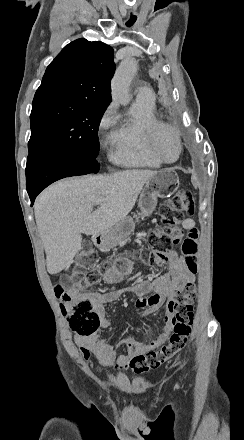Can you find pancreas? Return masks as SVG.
<instances>
[{
	"instance_id": "cf45deb5",
	"label": "pancreas",
	"mask_w": 244,
	"mask_h": 440,
	"mask_svg": "<svg viewBox=\"0 0 244 440\" xmlns=\"http://www.w3.org/2000/svg\"><path fill=\"white\" fill-rule=\"evenodd\" d=\"M129 234H126V236H122L121 240H119V242H123V240H127Z\"/></svg>"
}]
</instances>
